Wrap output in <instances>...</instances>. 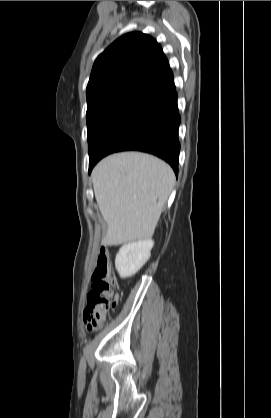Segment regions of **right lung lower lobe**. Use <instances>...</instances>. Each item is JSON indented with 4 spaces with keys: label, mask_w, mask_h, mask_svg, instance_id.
Listing matches in <instances>:
<instances>
[{
    "label": "right lung lower lobe",
    "mask_w": 271,
    "mask_h": 418,
    "mask_svg": "<svg viewBox=\"0 0 271 418\" xmlns=\"http://www.w3.org/2000/svg\"><path fill=\"white\" fill-rule=\"evenodd\" d=\"M180 121L175 89L152 103L116 132L105 144L94 162L89 165V173L94 165L108 154L136 150L162 158L171 165L177 175Z\"/></svg>",
    "instance_id": "right-lung-lower-lobe-1"
}]
</instances>
